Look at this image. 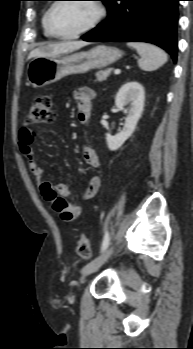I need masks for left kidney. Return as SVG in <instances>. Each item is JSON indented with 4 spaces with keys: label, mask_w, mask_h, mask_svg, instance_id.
<instances>
[{
    "label": "left kidney",
    "mask_w": 193,
    "mask_h": 349,
    "mask_svg": "<svg viewBox=\"0 0 193 349\" xmlns=\"http://www.w3.org/2000/svg\"><path fill=\"white\" fill-rule=\"evenodd\" d=\"M145 94L143 86L137 81H130L122 85L115 97V105L124 110L130 104V109L123 129L112 136L106 134L107 146L111 151L119 149L133 134L144 108Z\"/></svg>",
    "instance_id": "left-kidney-1"
}]
</instances>
